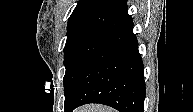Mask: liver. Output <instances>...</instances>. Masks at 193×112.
<instances>
[{
	"label": "liver",
	"mask_w": 193,
	"mask_h": 112,
	"mask_svg": "<svg viewBox=\"0 0 193 112\" xmlns=\"http://www.w3.org/2000/svg\"><path fill=\"white\" fill-rule=\"evenodd\" d=\"M76 112H115V110L99 104H89L79 107Z\"/></svg>",
	"instance_id": "obj_1"
}]
</instances>
